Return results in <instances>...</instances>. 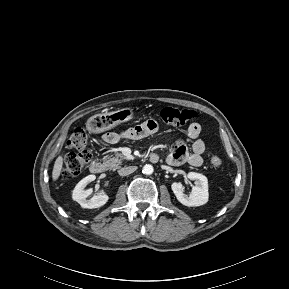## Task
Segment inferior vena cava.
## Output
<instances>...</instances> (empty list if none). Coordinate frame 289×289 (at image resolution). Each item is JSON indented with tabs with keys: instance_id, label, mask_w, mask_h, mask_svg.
Wrapping results in <instances>:
<instances>
[{
	"instance_id": "1",
	"label": "inferior vena cava",
	"mask_w": 289,
	"mask_h": 289,
	"mask_svg": "<svg viewBox=\"0 0 289 289\" xmlns=\"http://www.w3.org/2000/svg\"><path fill=\"white\" fill-rule=\"evenodd\" d=\"M136 169H137L136 166L123 167V168L118 170V174L120 176H126V175H129V174L133 173L134 171H136Z\"/></svg>"
}]
</instances>
